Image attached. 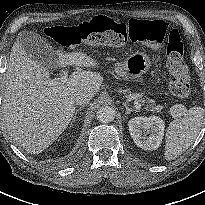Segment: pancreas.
<instances>
[{
  "instance_id": "pancreas-1",
  "label": "pancreas",
  "mask_w": 205,
  "mask_h": 205,
  "mask_svg": "<svg viewBox=\"0 0 205 205\" xmlns=\"http://www.w3.org/2000/svg\"><path fill=\"white\" fill-rule=\"evenodd\" d=\"M147 105L145 107V109H147L148 111H152V112H156V113H160L163 109L162 105H156L155 101L152 99H148L146 101Z\"/></svg>"
}]
</instances>
